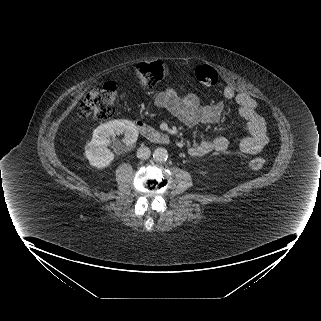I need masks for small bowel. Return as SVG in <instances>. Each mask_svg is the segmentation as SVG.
Returning <instances> with one entry per match:
<instances>
[{"instance_id": "obj_1", "label": "small bowel", "mask_w": 321, "mask_h": 321, "mask_svg": "<svg viewBox=\"0 0 321 321\" xmlns=\"http://www.w3.org/2000/svg\"><path fill=\"white\" fill-rule=\"evenodd\" d=\"M225 98L234 101L239 106V115L246 121L249 135L240 143V151L247 155L260 152L268 143L267 124L258 112L257 102L246 93L236 92L227 87ZM155 104L169 111V113L188 127L218 123L224 112V104L203 106L198 97L192 93L178 94L173 90L160 92L155 98ZM229 142L226 137L218 136L203 139L198 144L191 145L188 152L191 156L202 157L211 152L223 153Z\"/></svg>"}]
</instances>
